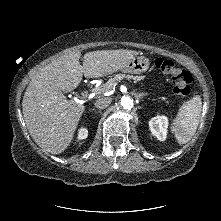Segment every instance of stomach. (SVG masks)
<instances>
[{
	"instance_id": "obj_1",
	"label": "stomach",
	"mask_w": 221,
	"mask_h": 221,
	"mask_svg": "<svg viewBox=\"0 0 221 221\" xmlns=\"http://www.w3.org/2000/svg\"><path fill=\"white\" fill-rule=\"evenodd\" d=\"M150 65L149 59L144 56L132 58L121 71L131 74H141L148 70Z\"/></svg>"
}]
</instances>
